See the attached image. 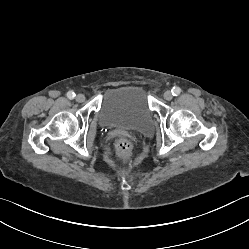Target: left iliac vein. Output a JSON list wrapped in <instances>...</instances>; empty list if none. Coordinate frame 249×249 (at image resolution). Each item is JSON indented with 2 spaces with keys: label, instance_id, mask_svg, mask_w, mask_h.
<instances>
[{
  "label": "left iliac vein",
  "instance_id": "obj_1",
  "mask_svg": "<svg viewBox=\"0 0 249 249\" xmlns=\"http://www.w3.org/2000/svg\"><path fill=\"white\" fill-rule=\"evenodd\" d=\"M164 98L166 99V100H171L172 98H173V95H172V92L171 91H166L165 93H164Z\"/></svg>",
  "mask_w": 249,
  "mask_h": 249
}]
</instances>
